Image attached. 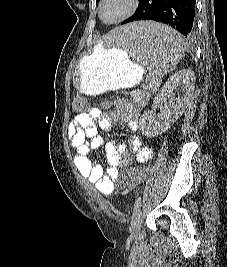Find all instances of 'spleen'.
Returning <instances> with one entry per match:
<instances>
[{
  "label": "spleen",
  "instance_id": "1",
  "mask_svg": "<svg viewBox=\"0 0 227 267\" xmlns=\"http://www.w3.org/2000/svg\"><path fill=\"white\" fill-rule=\"evenodd\" d=\"M116 30L117 33L101 36L100 40L107 42H97V47H119V55L140 59L151 74L143 76V81H164V77H172L170 71L186 49L184 40L174 29L157 19H134L116 25Z\"/></svg>",
  "mask_w": 227,
  "mask_h": 267
}]
</instances>
